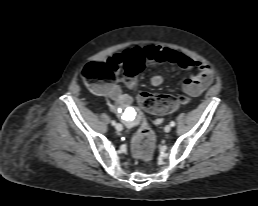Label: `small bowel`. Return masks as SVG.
Instances as JSON below:
<instances>
[{
  "instance_id": "c3829d8e",
  "label": "small bowel",
  "mask_w": 258,
  "mask_h": 206,
  "mask_svg": "<svg viewBox=\"0 0 258 206\" xmlns=\"http://www.w3.org/2000/svg\"><path fill=\"white\" fill-rule=\"evenodd\" d=\"M140 54L149 65L158 63L175 64L185 70H196V73L186 78L182 84L183 91L189 96H198L205 91L214 81V69L200 61L193 60L189 56L160 45H146L143 48H134L123 53L110 57L107 63L118 73L128 59L134 54ZM164 82L161 75H154L150 78V85L157 87ZM99 93L108 100L109 108L117 113L128 127H132L140 119L136 111L130 112L131 98L122 92L116 83L104 85L98 88ZM162 122L161 118L155 120L156 124Z\"/></svg>"
}]
</instances>
